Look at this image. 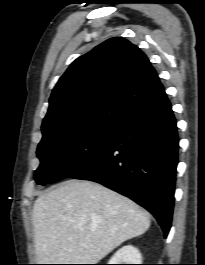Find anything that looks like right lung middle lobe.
Segmentation results:
<instances>
[{
  "instance_id": "dd1d6c3e",
  "label": "right lung middle lobe",
  "mask_w": 205,
  "mask_h": 265,
  "mask_svg": "<svg viewBox=\"0 0 205 265\" xmlns=\"http://www.w3.org/2000/svg\"><path fill=\"white\" fill-rule=\"evenodd\" d=\"M119 126L97 122L66 132H42L43 138L37 148L41 164L35 171V181L45 185L72 176L111 142Z\"/></svg>"
}]
</instances>
